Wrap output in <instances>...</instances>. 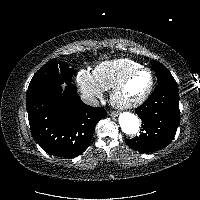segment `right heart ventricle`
I'll return each instance as SVG.
<instances>
[{
    "label": "right heart ventricle",
    "mask_w": 200,
    "mask_h": 200,
    "mask_svg": "<svg viewBox=\"0 0 200 200\" xmlns=\"http://www.w3.org/2000/svg\"><path fill=\"white\" fill-rule=\"evenodd\" d=\"M137 61L129 58H119L100 63L93 73L99 84L105 89H112L131 70L141 67Z\"/></svg>",
    "instance_id": "right-heart-ventricle-1"
}]
</instances>
